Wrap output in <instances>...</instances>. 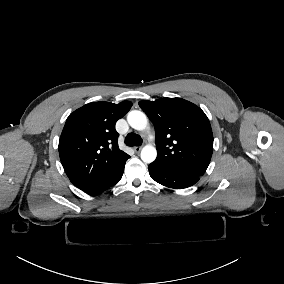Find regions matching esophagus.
Here are the masks:
<instances>
[{
	"label": "esophagus",
	"mask_w": 284,
	"mask_h": 284,
	"mask_svg": "<svg viewBox=\"0 0 284 284\" xmlns=\"http://www.w3.org/2000/svg\"><path fill=\"white\" fill-rule=\"evenodd\" d=\"M133 149H134V151L136 153H139L141 151L142 147L141 146H136V147H133Z\"/></svg>",
	"instance_id": "1"
}]
</instances>
